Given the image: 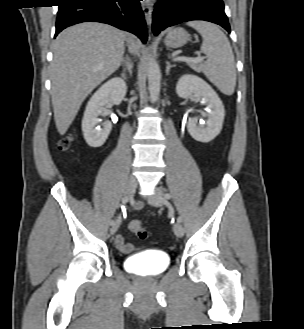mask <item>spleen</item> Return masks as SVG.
Masks as SVG:
<instances>
[{
  "mask_svg": "<svg viewBox=\"0 0 304 329\" xmlns=\"http://www.w3.org/2000/svg\"><path fill=\"white\" fill-rule=\"evenodd\" d=\"M187 25L196 29L203 38L201 51L207 62L202 65V72L223 94L232 95L236 86V69L228 38L210 22L190 21Z\"/></svg>",
  "mask_w": 304,
  "mask_h": 329,
  "instance_id": "spleen-1",
  "label": "spleen"
}]
</instances>
